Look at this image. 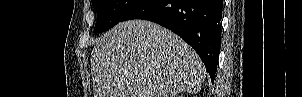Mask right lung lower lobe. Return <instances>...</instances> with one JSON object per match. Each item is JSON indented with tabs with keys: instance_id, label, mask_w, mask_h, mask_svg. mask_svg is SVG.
Listing matches in <instances>:
<instances>
[{
	"instance_id": "1",
	"label": "right lung lower lobe",
	"mask_w": 302,
	"mask_h": 97,
	"mask_svg": "<svg viewBox=\"0 0 302 97\" xmlns=\"http://www.w3.org/2000/svg\"><path fill=\"white\" fill-rule=\"evenodd\" d=\"M222 0H141L122 21L145 19L179 35L199 54L212 82L221 46Z\"/></svg>"
}]
</instances>
